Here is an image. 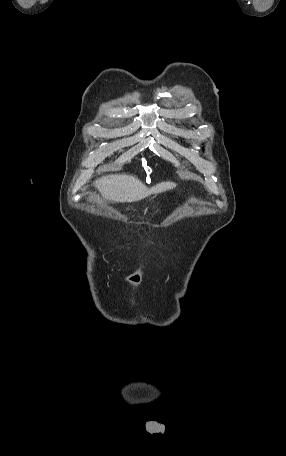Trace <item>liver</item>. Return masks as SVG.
Listing matches in <instances>:
<instances>
[{
    "label": "liver",
    "instance_id": "liver-1",
    "mask_svg": "<svg viewBox=\"0 0 286 456\" xmlns=\"http://www.w3.org/2000/svg\"><path fill=\"white\" fill-rule=\"evenodd\" d=\"M95 184L108 200L129 203L176 187L173 182H161L148 189L137 177L132 175H110L96 180Z\"/></svg>",
    "mask_w": 286,
    "mask_h": 456
}]
</instances>
